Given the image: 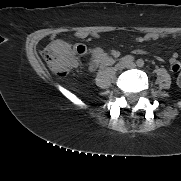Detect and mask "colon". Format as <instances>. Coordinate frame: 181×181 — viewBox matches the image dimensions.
Listing matches in <instances>:
<instances>
[{"instance_id": "colon-1", "label": "colon", "mask_w": 181, "mask_h": 181, "mask_svg": "<svg viewBox=\"0 0 181 181\" xmlns=\"http://www.w3.org/2000/svg\"><path fill=\"white\" fill-rule=\"evenodd\" d=\"M85 51V46L81 44L73 48H59L51 45L44 49L42 57L57 76L64 77L76 65L77 55H82ZM177 84L181 87V72L178 74Z\"/></svg>"}]
</instances>
